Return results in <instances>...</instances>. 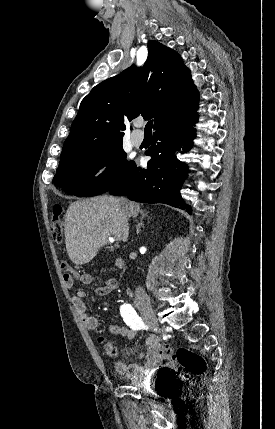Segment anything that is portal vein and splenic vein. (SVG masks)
Instances as JSON below:
<instances>
[{
  "mask_svg": "<svg viewBox=\"0 0 275 429\" xmlns=\"http://www.w3.org/2000/svg\"><path fill=\"white\" fill-rule=\"evenodd\" d=\"M109 239H112V240H120V239H121V237H120L119 235H117V236L110 237Z\"/></svg>",
  "mask_w": 275,
  "mask_h": 429,
  "instance_id": "18ae733b",
  "label": "portal vein and splenic vein"
}]
</instances>
